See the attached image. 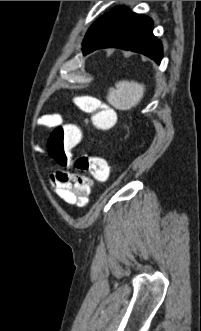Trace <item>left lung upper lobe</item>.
Returning a JSON list of instances; mask_svg holds the SVG:
<instances>
[{"label": "left lung upper lobe", "instance_id": "left-lung-upper-lobe-1", "mask_svg": "<svg viewBox=\"0 0 201 331\" xmlns=\"http://www.w3.org/2000/svg\"><path fill=\"white\" fill-rule=\"evenodd\" d=\"M103 17H101L100 19H98L88 30L85 38L95 29V27L97 26V24L99 23V21L102 19Z\"/></svg>", "mask_w": 201, "mask_h": 331}]
</instances>
